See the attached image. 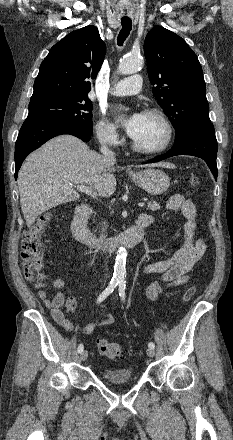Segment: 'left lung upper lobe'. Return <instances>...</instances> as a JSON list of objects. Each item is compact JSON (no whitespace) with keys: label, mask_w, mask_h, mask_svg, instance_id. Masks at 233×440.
<instances>
[{"label":"left lung upper lobe","mask_w":233,"mask_h":440,"mask_svg":"<svg viewBox=\"0 0 233 440\" xmlns=\"http://www.w3.org/2000/svg\"><path fill=\"white\" fill-rule=\"evenodd\" d=\"M144 53L153 94L175 128V141L197 125L210 124L203 71L188 44L155 26L146 36Z\"/></svg>","instance_id":"5c2ea615"}]
</instances>
